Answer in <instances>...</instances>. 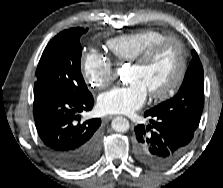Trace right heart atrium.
<instances>
[{
    "mask_svg": "<svg viewBox=\"0 0 223 188\" xmlns=\"http://www.w3.org/2000/svg\"><path fill=\"white\" fill-rule=\"evenodd\" d=\"M81 72L89 87L102 89L113 78V65L109 58L95 51H90L83 55Z\"/></svg>",
    "mask_w": 223,
    "mask_h": 188,
    "instance_id": "1",
    "label": "right heart atrium"
}]
</instances>
